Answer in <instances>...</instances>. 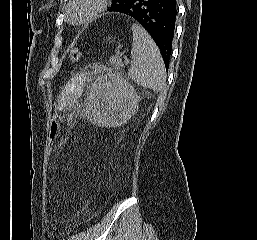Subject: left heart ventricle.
I'll list each match as a JSON object with an SVG mask.
<instances>
[{"label":"left heart ventricle","instance_id":"1","mask_svg":"<svg viewBox=\"0 0 257 240\" xmlns=\"http://www.w3.org/2000/svg\"><path fill=\"white\" fill-rule=\"evenodd\" d=\"M90 8V0H79L71 8L73 18L76 20L82 18Z\"/></svg>","mask_w":257,"mask_h":240}]
</instances>
